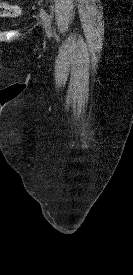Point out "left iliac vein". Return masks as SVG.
Wrapping results in <instances>:
<instances>
[{
  "mask_svg": "<svg viewBox=\"0 0 133 275\" xmlns=\"http://www.w3.org/2000/svg\"><path fill=\"white\" fill-rule=\"evenodd\" d=\"M42 18V16H41ZM42 26L46 30L47 33L51 32L50 25L42 18Z\"/></svg>",
  "mask_w": 133,
  "mask_h": 275,
  "instance_id": "obj_1",
  "label": "left iliac vein"
}]
</instances>
